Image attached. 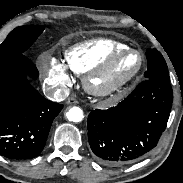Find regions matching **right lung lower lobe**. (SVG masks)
Here are the masks:
<instances>
[{"label":"right lung lower lobe","instance_id":"obj_1","mask_svg":"<svg viewBox=\"0 0 183 183\" xmlns=\"http://www.w3.org/2000/svg\"><path fill=\"white\" fill-rule=\"evenodd\" d=\"M39 72L20 54L0 61V155L30 159L42 151L51 124L63 108L30 84Z\"/></svg>","mask_w":183,"mask_h":183}]
</instances>
